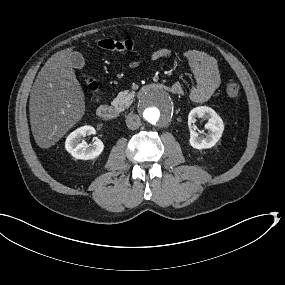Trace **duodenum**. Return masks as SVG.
Segmentation results:
<instances>
[{
	"label": "duodenum",
	"mask_w": 285,
	"mask_h": 285,
	"mask_svg": "<svg viewBox=\"0 0 285 285\" xmlns=\"http://www.w3.org/2000/svg\"><path fill=\"white\" fill-rule=\"evenodd\" d=\"M151 89H157L161 91H171V88L162 83H150L143 86L139 92L138 96H141ZM97 116L105 121L113 120L118 116V110L110 104H102L97 108Z\"/></svg>",
	"instance_id": "obj_1"
}]
</instances>
